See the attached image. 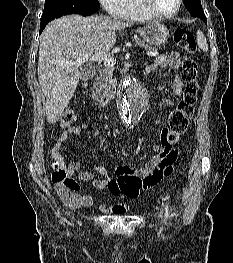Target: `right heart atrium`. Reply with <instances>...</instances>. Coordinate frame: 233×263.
Here are the masks:
<instances>
[{
    "instance_id": "right-heart-atrium-1",
    "label": "right heart atrium",
    "mask_w": 233,
    "mask_h": 263,
    "mask_svg": "<svg viewBox=\"0 0 233 263\" xmlns=\"http://www.w3.org/2000/svg\"><path fill=\"white\" fill-rule=\"evenodd\" d=\"M121 1L122 0H99L104 9L111 14L116 13Z\"/></svg>"
}]
</instances>
